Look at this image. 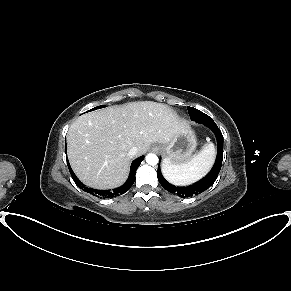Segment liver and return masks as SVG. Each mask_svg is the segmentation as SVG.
<instances>
[{
  "label": "liver",
  "mask_w": 291,
  "mask_h": 291,
  "mask_svg": "<svg viewBox=\"0 0 291 291\" xmlns=\"http://www.w3.org/2000/svg\"><path fill=\"white\" fill-rule=\"evenodd\" d=\"M187 127L162 103L140 101L107 107L80 116L70 126L69 162L86 185L113 188L128 176L131 158L127 154L132 147L140 156L152 143L168 144Z\"/></svg>",
  "instance_id": "6515ba94"
}]
</instances>
